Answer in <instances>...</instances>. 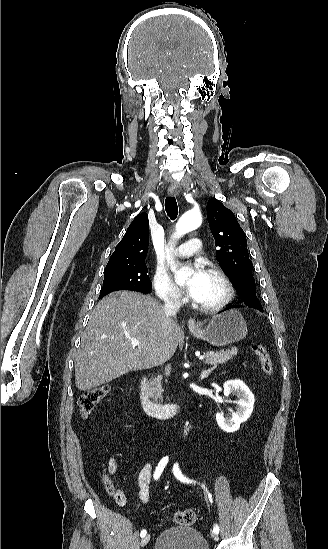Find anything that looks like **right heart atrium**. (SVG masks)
Returning a JSON list of instances; mask_svg holds the SVG:
<instances>
[{"mask_svg":"<svg viewBox=\"0 0 328 549\" xmlns=\"http://www.w3.org/2000/svg\"><path fill=\"white\" fill-rule=\"evenodd\" d=\"M152 287L157 297L160 299V302L156 303L184 302L180 292L174 286L169 273L157 264L154 265Z\"/></svg>","mask_w":328,"mask_h":549,"instance_id":"1","label":"right heart atrium"}]
</instances>
